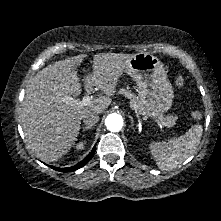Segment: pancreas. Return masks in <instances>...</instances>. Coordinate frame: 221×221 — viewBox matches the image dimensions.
I'll return each mask as SVG.
<instances>
[{
	"mask_svg": "<svg viewBox=\"0 0 221 221\" xmlns=\"http://www.w3.org/2000/svg\"><path fill=\"white\" fill-rule=\"evenodd\" d=\"M119 93L124 94L126 97H130L132 95L131 90H129L128 88H121L119 90ZM136 108H137L138 112L140 114L144 115L145 117L155 116L149 110H147V108L140 101L137 102ZM158 118H159V120L165 122L166 126H168V127L174 126L175 122L177 120V116H173V115H168L166 117L159 116Z\"/></svg>",
	"mask_w": 221,
	"mask_h": 221,
	"instance_id": "1",
	"label": "pancreas"
}]
</instances>
